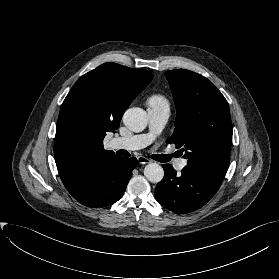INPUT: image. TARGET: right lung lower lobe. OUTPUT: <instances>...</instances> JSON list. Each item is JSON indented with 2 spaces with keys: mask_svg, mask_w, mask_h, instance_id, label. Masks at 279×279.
<instances>
[{
  "mask_svg": "<svg viewBox=\"0 0 279 279\" xmlns=\"http://www.w3.org/2000/svg\"><path fill=\"white\" fill-rule=\"evenodd\" d=\"M137 164L135 157L118 156L81 170L64 185L76 200L87 207L109 206L122 197Z\"/></svg>",
  "mask_w": 279,
  "mask_h": 279,
  "instance_id": "1",
  "label": "right lung lower lobe"
}]
</instances>
